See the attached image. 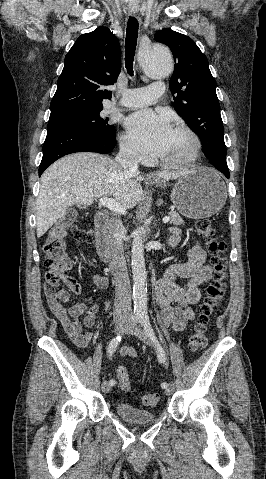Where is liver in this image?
Here are the masks:
<instances>
[{"label":"liver","mask_w":266,"mask_h":479,"mask_svg":"<svg viewBox=\"0 0 266 479\" xmlns=\"http://www.w3.org/2000/svg\"><path fill=\"white\" fill-rule=\"evenodd\" d=\"M185 173L158 172L165 181ZM144 177L132 174L111 158L91 152L68 155L56 161L41 176L36 202L37 237L63 218L74 204L91 205L95 198L112 196L125 208H133L144 195Z\"/></svg>","instance_id":"1"}]
</instances>
